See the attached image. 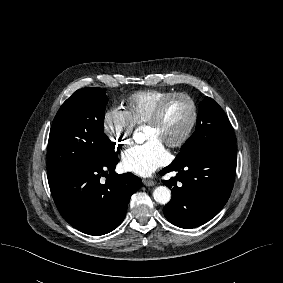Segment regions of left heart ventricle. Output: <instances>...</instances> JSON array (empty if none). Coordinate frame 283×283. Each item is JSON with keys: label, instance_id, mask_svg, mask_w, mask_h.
I'll use <instances>...</instances> for the list:
<instances>
[{"label": "left heart ventricle", "instance_id": "1", "mask_svg": "<svg viewBox=\"0 0 283 283\" xmlns=\"http://www.w3.org/2000/svg\"><path fill=\"white\" fill-rule=\"evenodd\" d=\"M190 115L188 102L181 98L174 99L165 109L158 125H146L145 139H157L164 144L178 139L186 129Z\"/></svg>", "mask_w": 283, "mask_h": 283}]
</instances>
